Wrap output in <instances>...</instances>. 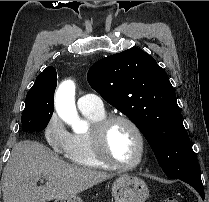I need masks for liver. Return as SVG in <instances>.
Wrapping results in <instances>:
<instances>
[{
    "label": "liver",
    "mask_w": 209,
    "mask_h": 202,
    "mask_svg": "<svg viewBox=\"0 0 209 202\" xmlns=\"http://www.w3.org/2000/svg\"><path fill=\"white\" fill-rule=\"evenodd\" d=\"M112 175L66 163L39 142L15 144L2 174L4 202H47L74 196ZM40 178L47 180L37 186Z\"/></svg>",
    "instance_id": "6515ba94"
}]
</instances>
